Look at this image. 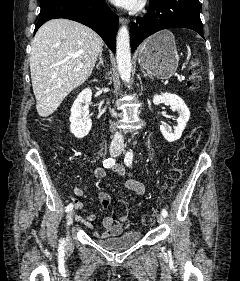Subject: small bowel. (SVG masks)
<instances>
[{
    "label": "small bowel",
    "mask_w": 240,
    "mask_h": 281,
    "mask_svg": "<svg viewBox=\"0 0 240 281\" xmlns=\"http://www.w3.org/2000/svg\"><path fill=\"white\" fill-rule=\"evenodd\" d=\"M112 170L114 173L125 178L124 186L126 189L132 191L133 193H135L138 196H144L146 194V188H145L144 184L141 183L140 181L133 179L131 177L130 173H128L122 166L116 165L112 168ZM93 174L96 179L100 180L105 177L106 171L102 167H96L93 170ZM73 191H74V194L78 197L85 195L84 189H82L78 186H75ZM98 197H99L102 208L104 210H107L111 204L110 195L107 192L101 190L98 192ZM75 207L77 210H82L83 204L79 201H76ZM95 219H96V215H94V214H89L85 217H83V216L76 217L77 221L83 222L84 224H86L89 227H91V222L94 221ZM102 226H103V232L102 233L94 232V234L96 236H101V237L117 236V235H120L123 231V227L118 224H115L114 219L111 216H106L103 219Z\"/></svg>",
    "instance_id": "small-bowel-1"
}]
</instances>
